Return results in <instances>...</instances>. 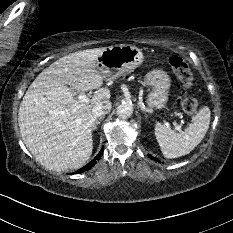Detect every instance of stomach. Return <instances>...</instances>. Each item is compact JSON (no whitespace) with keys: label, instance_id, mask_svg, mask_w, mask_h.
Here are the masks:
<instances>
[{"label":"stomach","instance_id":"stomach-1","mask_svg":"<svg viewBox=\"0 0 233 233\" xmlns=\"http://www.w3.org/2000/svg\"><path fill=\"white\" fill-rule=\"evenodd\" d=\"M142 50L130 44H121L105 47L97 60L100 74L108 80L116 79L132 72L143 62ZM171 79L160 69H155L146 74L144 84L151 87L148 95V105L152 108H163L168 100V91Z\"/></svg>","mask_w":233,"mask_h":233}]
</instances>
